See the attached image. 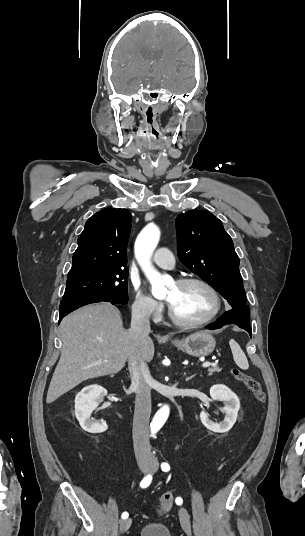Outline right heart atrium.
Listing matches in <instances>:
<instances>
[{"label": "right heart atrium", "instance_id": "right-heart-atrium-1", "mask_svg": "<svg viewBox=\"0 0 305 536\" xmlns=\"http://www.w3.org/2000/svg\"><path fill=\"white\" fill-rule=\"evenodd\" d=\"M131 311L138 318H154L160 314L161 307L138 284H133Z\"/></svg>", "mask_w": 305, "mask_h": 536}]
</instances>
